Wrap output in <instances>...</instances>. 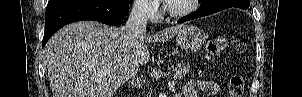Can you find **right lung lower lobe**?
Listing matches in <instances>:
<instances>
[{
	"label": "right lung lower lobe",
	"instance_id": "right-lung-lower-lobe-1",
	"mask_svg": "<svg viewBox=\"0 0 302 97\" xmlns=\"http://www.w3.org/2000/svg\"><path fill=\"white\" fill-rule=\"evenodd\" d=\"M129 5L119 0H50L42 47L58 29L72 22L95 20L116 26L126 17Z\"/></svg>",
	"mask_w": 302,
	"mask_h": 97
}]
</instances>
